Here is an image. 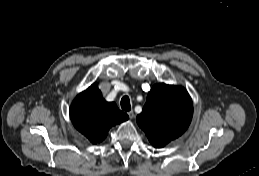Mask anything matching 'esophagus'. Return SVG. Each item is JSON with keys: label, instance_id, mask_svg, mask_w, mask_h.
Returning <instances> with one entry per match:
<instances>
[{"label": "esophagus", "instance_id": "obj_1", "mask_svg": "<svg viewBox=\"0 0 259 176\" xmlns=\"http://www.w3.org/2000/svg\"><path fill=\"white\" fill-rule=\"evenodd\" d=\"M128 116H129L130 119H133V118H134V112H133V110H130V111L128 112Z\"/></svg>", "mask_w": 259, "mask_h": 176}]
</instances>
